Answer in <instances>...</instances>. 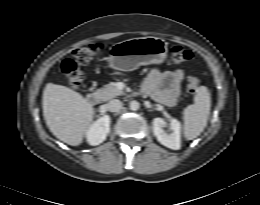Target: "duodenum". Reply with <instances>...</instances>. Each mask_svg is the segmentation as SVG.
Returning <instances> with one entry per match:
<instances>
[{
    "label": "duodenum",
    "instance_id": "duodenum-1",
    "mask_svg": "<svg viewBox=\"0 0 260 205\" xmlns=\"http://www.w3.org/2000/svg\"><path fill=\"white\" fill-rule=\"evenodd\" d=\"M86 101L91 105V106H97L100 101V97L97 93L95 92H89L86 95Z\"/></svg>",
    "mask_w": 260,
    "mask_h": 205
}]
</instances>
